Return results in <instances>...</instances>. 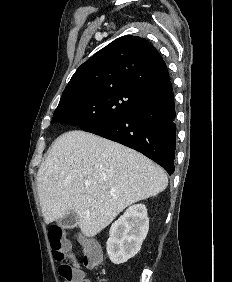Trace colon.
I'll return each instance as SVG.
<instances>
[{
    "instance_id": "obj_1",
    "label": "colon",
    "mask_w": 232,
    "mask_h": 282,
    "mask_svg": "<svg viewBox=\"0 0 232 282\" xmlns=\"http://www.w3.org/2000/svg\"><path fill=\"white\" fill-rule=\"evenodd\" d=\"M48 238L53 257L56 261L62 262L58 267V272L64 282L82 281L81 270L75 264L63 263L66 258L67 243L64 239L63 230L54 226L49 229ZM83 263L87 268L97 267L101 260L99 248L90 240L83 241Z\"/></svg>"
}]
</instances>
